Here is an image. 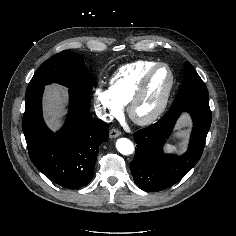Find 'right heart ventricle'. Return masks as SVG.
Here are the masks:
<instances>
[{
  "label": "right heart ventricle",
  "mask_w": 236,
  "mask_h": 236,
  "mask_svg": "<svg viewBox=\"0 0 236 236\" xmlns=\"http://www.w3.org/2000/svg\"><path fill=\"white\" fill-rule=\"evenodd\" d=\"M157 62L139 60L122 66L111 78L109 90L113 97L123 106L127 105L145 73Z\"/></svg>",
  "instance_id": "right-heart-ventricle-1"
}]
</instances>
